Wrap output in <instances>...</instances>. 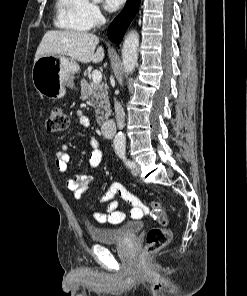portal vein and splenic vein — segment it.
I'll use <instances>...</instances> for the list:
<instances>
[{"label":"portal vein and splenic vein","mask_w":247,"mask_h":296,"mask_svg":"<svg viewBox=\"0 0 247 296\" xmlns=\"http://www.w3.org/2000/svg\"><path fill=\"white\" fill-rule=\"evenodd\" d=\"M92 81L95 84H99L102 81V73L99 70L92 72Z\"/></svg>","instance_id":"obj_1"}]
</instances>
